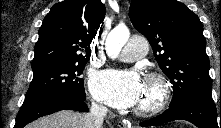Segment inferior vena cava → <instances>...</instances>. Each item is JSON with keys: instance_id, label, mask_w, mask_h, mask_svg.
I'll return each instance as SVG.
<instances>
[{"instance_id": "1", "label": "inferior vena cava", "mask_w": 221, "mask_h": 128, "mask_svg": "<svg viewBox=\"0 0 221 128\" xmlns=\"http://www.w3.org/2000/svg\"><path fill=\"white\" fill-rule=\"evenodd\" d=\"M107 111L106 107L92 103L90 112L84 118L86 128H103V120Z\"/></svg>"}]
</instances>
